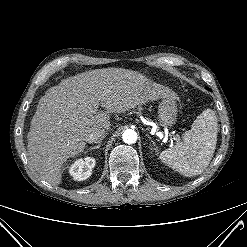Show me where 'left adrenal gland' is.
Listing matches in <instances>:
<instances>
[{"label":"left adrenal gland","instance_id":"a2214340","mask_svg":"<svg viewBox=\"0 0 247 247\" xmlns=\"http://www.w3.org/2000/svg\"><path fill=\"white\" fill-rule=\"evenodd\" d=\"M147 136H148L149 140L151 141V143L153 144V150H155L157 152L158 149H157V146H156L155 142L151 139V137L149 135H147Z\"/></svg>","mask_w":247,"mask_h":247}]
</instances>
